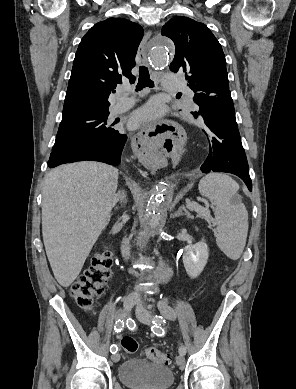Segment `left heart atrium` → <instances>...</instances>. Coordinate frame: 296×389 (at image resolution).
Segmentation results:
<instances>
[{"mask_svg": "<svg viewBox=\"0 0 296 389\" xmlns=\"http://www.w3.org/2000/svg\"><path fill=\"white\" fill-rule=\"evenodd\" d=\"M161 114L160 106L151 102L137 110L131 117L130 123L133 128L143 126L156 118Z\"/></svg>", "mask_w": 296, "mask_h": 389, "instance_id": "left-heart-atrium-1", "label": "left heart atrium"}]
</instances>
